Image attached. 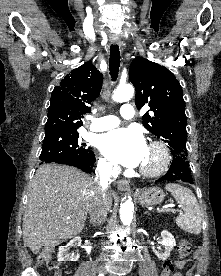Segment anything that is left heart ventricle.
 I'll list each match as a JSON object with an SVG mask.
<instances>
[{
  "mask_svg": "<svg viewBox=\"0 0 221 276\" xmlns=\"http://www.w3.org/2000/svg\"><path fill=\"white\" fill-rule=\"evenodd\" d=\"M158 162V154L154 150L147 148L145 158L142 162V166L151 167Z\"/></svg>",
  "mask_w": 221,
  "mask_h": 276,
  "instance_id": "obj_1",
  "label": "left heart ventricle"
}]
</instances>
